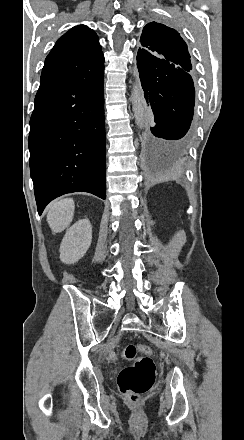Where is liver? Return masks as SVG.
I'll list each match as a JSON object with an SVG mask.
<instances>
[{
    "label": "liver",
    "mask_w": 244,
    "mask_h": 440,
    "mask_svg": "<svg viewBox=\"0 0 244 440\" xmlns=\"http://www.w3.org/2000/svg\"><path fill=\"white\" fill-rule=\"evenodd\" d=\"M75 204L72 198L58 200L53 202L47 214V222L55 234L63 232L67 226H70L74 216Z\"/></svg>",
    "instance_id": "obj_1"
}]
</instances>
